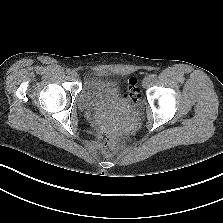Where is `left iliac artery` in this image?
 Listing matches in <instances>:
<instances>
[{
    "label": "left iliac artery",
    "mask_w": 223,
    "mask_h": 223,
    "mask_svg": "<svg viewBox=\"0 0 223 223\" xmlns=\"http://www.w3.org/2000/svg\"><path fill=\"white\" fill-rule=\"evenodd\" d=\"M156 76H157L156 74H151V75H150V78L153 80V79L156 78Z\"/></svg>",
    "instance_id": "left-iliac-artery-1"
}]
</instances>
